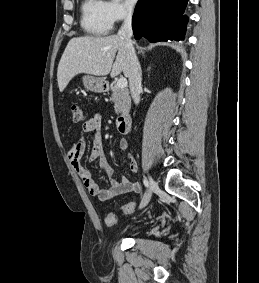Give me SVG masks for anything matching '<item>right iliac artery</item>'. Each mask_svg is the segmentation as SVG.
I'll list each match as a JSON object with an SVG mask.
<instances>
[{
	"mask_svg": "<svg viewBox=\"0 0 259 283\" xmlns=\"http://www.w3.org/2000/svg\"><path fill=\"white\" fill-rule=\"evenodd\" d=\"M143 183H144L145 187H147V188L149 187V183L146 179L143 180Z\"/></svg>",
	"mask_w": 259,
	"mask_h": 283,
	"instance_id": "obj_1",
	"label": "right iliac artery"
}]
</instances>
